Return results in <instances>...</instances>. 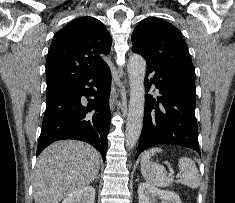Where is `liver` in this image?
Returning a JSON list of instances; mask_svg holds the SVG:
<instances>
[{
	"label": "liver",
	"instance_id": "1",
	"mask_svg": "<svg viewBox=\"0 0 235 203\" xmlns=\"http://www.w3.org/2000/svg\"><path fill=\"white\" fill-rule=\"evenodd\" d=\"M100 154L91 145L61 140L38 157L33 180L35 203H59L89 185L98 175Z\"/></svg>",
	"mask_w": 235,
	"mask_h": 203
}]
</instances>
